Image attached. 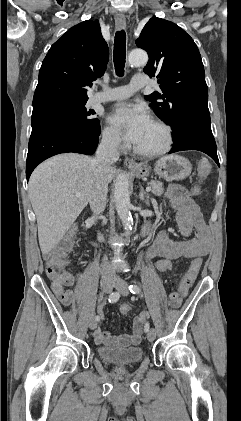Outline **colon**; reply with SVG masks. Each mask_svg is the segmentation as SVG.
Returning a JSON list of instances; mask_svg holds the SVG:
<instances>
[{
    "label": "colon",
    "mask_w": 241,
    "mask_h": 421,
    "mask_svg": "<svg viewBox=\"0 0 241 421\" xmlns=\"http://www.w3.org/2000/svg\"><path fill=\"white\" fill-rule=\"evenodd\" d=\"M211 170V164L208 159L200 158L198 160L197 172L202 181L210 175ZM194 192L198 194L200 188H195ZM75 239L76 228H73L59 247L52 249L45 254L46 274L53 281V286L55 288L73 283V277L67 271L68 261L66 258V251L73 246ZM201 265L202 260L200 258L192 260L189 270L182 277L179 284L177 293L181 297L185 296L195 283ZM153 269L159 274L169 273L173 271V264L171 260L163 258L154 262ZM131 309L129 304H122L120 312L122 315H127L131 312Z\"/></svg>",
    "instance_id": "obj_1"
}]
</instances>
